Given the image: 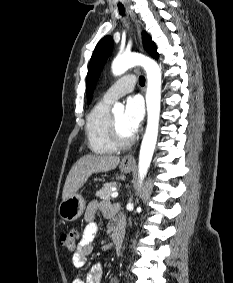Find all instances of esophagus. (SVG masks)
<instances>
[{
    "mask_svg": "<svg viewBox=\"0 0 233 283\" xmlns=\"http://www.w3.org/2000/svg\"><path fill=\"white\" fill-rule=\"evenodd\" d=\"M130 15L132 17V19L135 21V26H136V31H137V36L138 39L140 41L141 47H142V40H141V23L139 21L136 20V16L133 10L130 11ZM143 49V47H142ZM123 163H132L134 162V152L129 153L128 155H126L123 159H122Z\"/></svg>",
    "mask_w": 233,
    "mask_h": 283,
    "instance_id": "34e87169",
    "label": "esophagus"
}]
</instances>
